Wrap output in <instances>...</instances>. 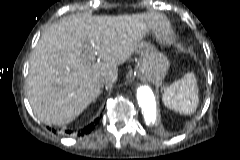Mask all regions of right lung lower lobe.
<instances>
[{
    "instance_id": "right-lung-lower-lobe-1",
    "label": "right lung lower lobe",
    "mask_w": 240,
    "mask_h": 160,
    "mask_svg": "<svg viewBox=\"0 0 240 160\" xmlns=\"http://www.w3.org/2000/svg\"><path fill=\"white\" fill-rule=\"evenodd\" d=\"M98 121H99L98 118L95 119L94 122H92V123L89 124L87 127H85L84 129H82V130L78 133V135L83 136V135H85V134L90 133V132L94 129V126L98 123ZM52 131L55 132L54 129H53ZM66 132L69 133V134L71 133V131H69V130H67Z\"/></svg>"
}]
</instances>
